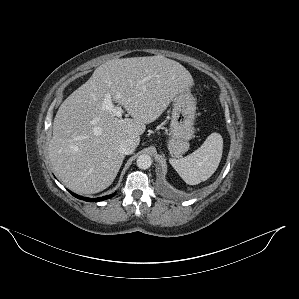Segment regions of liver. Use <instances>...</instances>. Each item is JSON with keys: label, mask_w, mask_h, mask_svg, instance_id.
I'll list each match as a JSON object with an SVG mask.
<instances>
[{"label": "liver", "mask_w": 299, "mask_h": 299, "mask_svg": "<svg viewBox=\"0 0 299 299\" xmlns=\"http://www.w3.org/2000/svg\"><path fill=\"white\" fill-rule=\"evenodd\" d=\"M193 85L184 66L162 55L113 59L100 65L57 111L48 145L54 171L76 193L106 189L125 157L120 142L131 139L138 146L146 124ZM107 95L132 118H118L103 109Z\"/></svg>", "instance_id": "liver-1"}]
</instances>
